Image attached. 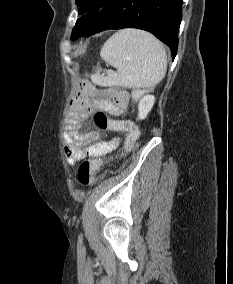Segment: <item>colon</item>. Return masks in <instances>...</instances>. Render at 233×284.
<instances>
[{"instance_id": "colon-1", "label": "colon", "mask_w": 233, "mask_h": 284, "mask_svg": "<svg viewBox=\"0 0 233 284\" xmlns=\"http://www.w3.org/2000/svg\"><path fill=\"white\" fill-rule=\"evenodd\" d=\"M147 91V89H136L133 91L132 97L134 101L140 99V97ZM94 121L96 126L101 130H119L127 133L124 153H128L133 149L139 138V130L134 124H126L122 121H116L109 119L104 111L98 110L95 113ZM102 165L101 159L85 160L78 168V181L82 186H92L96 183V171Z\"/></svg>"}]
</instances>
